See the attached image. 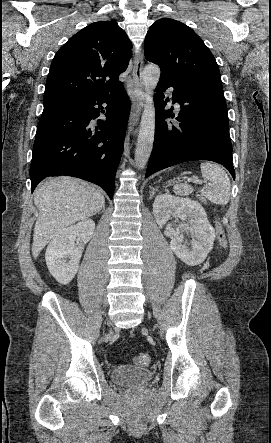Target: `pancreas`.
<instances>
[{
    "label": "pancreas",
    "mask_w": 271,
    "mask_h": 443,
    "mask_svg": "<svg viewBox=\"0 0 271 443\" xmlns=\"http://www.w3.org/2000/svg\"><path fill=\"white\" fill-rule=\"evenodd\" d=\"M199 200H201V202H204V204H206L207 200H205V198H199Z\"/></svg>",
    "instance_id": "cf45deb5"
}]
</instances>
